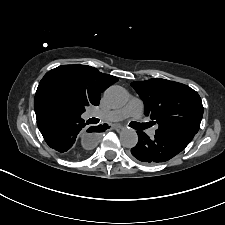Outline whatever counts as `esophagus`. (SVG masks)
Returning a JSON list of instances; mask_svg holds the SVG:
<instances>
[{
  "label": "esophagus",
  "mask_w": 225,
  "mask_h": 225,
  "mask_svg": "<svg viewBox=\"0 0 225 225\" xmlns=\"http://www.w3.org/2000/svg\"><path fill=\"white\" fill-rule=\"evenodd\" d=\"M113 128L116 130H121L123 127L121 125L117 124V125H113Z\"/></svg>",
  "instance_id": "obj_1"
}]
</instances>
